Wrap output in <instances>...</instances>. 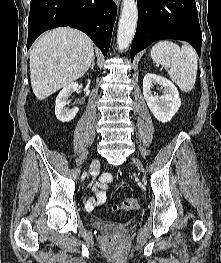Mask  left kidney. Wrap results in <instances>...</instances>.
<instances>
[{
    "instance_id": "1",
    "label": "left kidney",
    "mask_w": 221,
    "mask_h": 263,
    "mask_svg": "<svg viewBox=\"0 0 221 263\" xmlns=\"http://www.w3.org/2000/svg\"><path fill=\"white\" fill-rule=\"evenodd\" d=\"M156 84L164 88L162 96L152 93L151 88ZM143 95L154 117L162 123L170 121L181 106V99L175 85L168 79L156 74L148 73L145 75Z\"/></svg>"
}]
</instances>
